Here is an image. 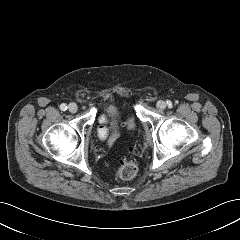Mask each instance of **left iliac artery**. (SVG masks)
I'll return each mask as SVG.
<instances>
[{"mask_svg":"<svg viewBox=\"0 0 240 240\" xmlns=\"http://www.w3.org/2000/svg\"><path fill=\"white\" fill-rule=\"evenodd\" d=\"M168 107H172V103L170 101H167Z\"/></svg>","mask_w":240,"mask_h":240,"instance_id":"1","label":"left iliac artery"}]
</instances>
